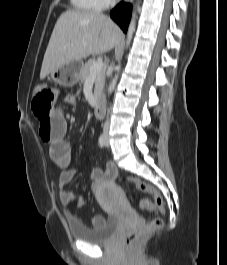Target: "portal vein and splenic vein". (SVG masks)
Listing matches in <instances>:
<instances>
[{"instance_id": "portal-vein-and-splenic-vein-1", "label": "portal vein and splenic vein", "mask_w": 227, "mask_h": 265, "mask_svg": "<svg viewBox=\"0 0 227 265\" xmlns=\"http://www.w3.org/2000/svg\"><path fill=\"white\" fill-rule=\"evenodd\" d=\"M103 68V62L98 60L90 68V76L96 75Z\"/></svg>"}]
</instances>
